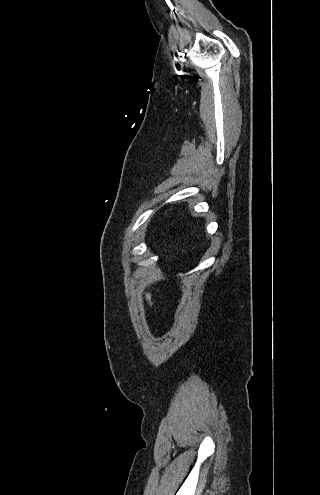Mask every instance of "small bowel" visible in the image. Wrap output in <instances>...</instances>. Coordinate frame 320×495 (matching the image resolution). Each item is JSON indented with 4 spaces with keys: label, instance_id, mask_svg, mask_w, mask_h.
I'll return each instance as SVG.
<instances>
[{
    "label": "small bowel",
    "instance_id": "small-bowel-1",
    "mask_svg": "<svg viewBox=\"0 0 320 495\" xmlns=\"http://www.w3.org/2000/svg\"><path fill=\"white\" fill-rule=\"evenodd\" d=\"M146 298H147V300L151 303V296H150V294H149V293H147V294H146Z\"/></svg>",
    "mask_w": 320,
    "mask_h": 495
}]
</instances>
